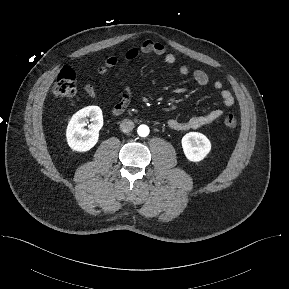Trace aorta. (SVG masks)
Wrapping results in <instances>:
<instances>
[{
  "mask_svg": "<svg viewBox=\"0 0 289 289\" xmlns=\"http://www.w3.org/2000/svg\"><path fill=\"white\" fill-rule=\"evenodd\" d=\"M137 132L139 136L146 137L149 134V127L146 125H140Z\"/></svg>",
  "mask_w": 289,
  "mask_h": 289,
  "instance_id": "aorta-1",
  "label": "aorta"
}]
</instances>
